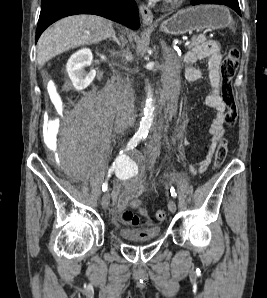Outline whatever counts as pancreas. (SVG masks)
I'll return each instance as SVG.
<instances>
[{"label":"pancreas","instance_id":"cf45deb5","mask_svg":"<svg viewBox=\"0 0 267 298\" xmlns=\"http://www.w3.org/2000/svg\"><path fill=\"white\" fill-rule=\"evenodd\" d=\"M206 36L205 35H198V36H194L191 39V44H190V48L199 45L200 43H203L206 41Z\"/></svg>","mask_w":267,"mask_h":298}]
</instances>
